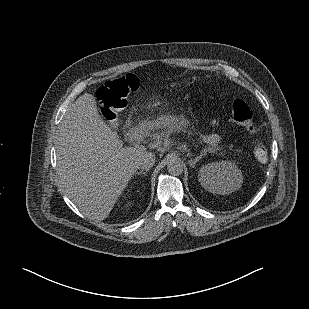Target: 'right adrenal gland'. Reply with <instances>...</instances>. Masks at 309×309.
<instances>
[{"label":"right adrenal gland","mask_w":309,"mask_h":309,"mask_svg":"<svg viewBox=\"0 0 309 309\" xmlns=\"http://www.w3.org/2000/svg\"><path fill=\"white\" fill-rule=\"evenodd\" d=\"M147 172H148V170H146V171H140V172H137L136 174L137 175H146L147 174Z\"/></svg>","instance_id":"right-adrenal-gland-1"}]
</instances>
